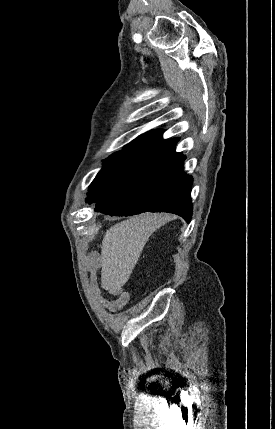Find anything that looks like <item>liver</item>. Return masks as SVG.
Wrapping results in <instances>:
<instances>
[{
	"mask_svg": "<svg viewBox=\"0 0 275 429\" xmlns=\"http://www.w3.org/2000/svg\"><path fill=\"white\" fill-rule=\"evenodd\" d=\"M168 214L144 213L112 226L101 246V285L112 294L128 281L149 237L171 220Z\"/></svg>",
	"mask_w": 275,
	"mask_h": 429,
	"instance_id": "liver-1",
	"label": "liver"
}]
</instances>
